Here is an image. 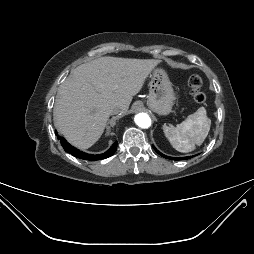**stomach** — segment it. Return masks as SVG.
I'll return each instance as SVG.
<instances>
[{"label":"stomach","mask_w":254,"mask_h":254,"mask_svg":"<svg viewBox=\"0 0 254 254\" xmlns=\"http://www.w3.org/2000/svg\"><path fill=\"white\" fill-rule=\"evenodd\" d=\"M150 78L147 105L158 115H168L175 99L169 77L164 69L155 68Z\"/></svg>","instance_id":"1"}]
</instances>
